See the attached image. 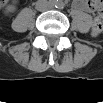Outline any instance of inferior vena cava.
Returning <instances> with one entry per match:
<instances>
[{
	"label": "inferior vena cava",
	"instance_id": "obj_1",
	"mask_svg": "<svg viewBox=\"0 0 103 103\" xmlns=\"http://www.w3.org/2000/svg\"><path fill=\"white\" fill-rule=\"evenodd\" d=\"M49 7H50V4H49V2L46 1V0H40V1H37V3H36V8H37V10H39V11H45V10H47Z\"/></svg>",
	"mask_w": 103,
	"mask_h": 103
}]
</instances>
